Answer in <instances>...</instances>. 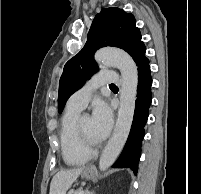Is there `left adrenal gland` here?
Instances as JSON below:
<instances>
[{"label":"left adrenal gland","mask_w":201,"mask_h":194,"mask_svg":"<svg viewBox=\"0 0 201 194\" xmlns=\"http://www.w3.org/2000/svg\"><path fill=\"white\" fill-rule=\"evenodd\" d=\"M85 194H94V192H89V191L87 190Z\"/></svg>","instance_id":"left-adrenal-gland-1"}]
</instances>
